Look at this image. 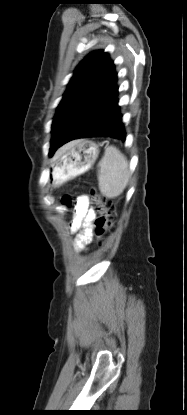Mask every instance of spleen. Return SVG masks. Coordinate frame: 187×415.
Wrapping results in <instances>:
<instances>
[{"instance_id": "spleen-1", "label": "spleen", "mask_w": 187, "mask_h": 415, "mask_svg": "<svg viewBox=\"0 0 187 415\" xmlns=\"http://www.w3.org/2000/svg\"><path fill=\"white\" fill-rule=\"evenodd\" d=\"M98 186L106 198L120 196L130 178V169L126 157L114 146L106 148L98 164Z\"/></svg>"}]
</instances>
